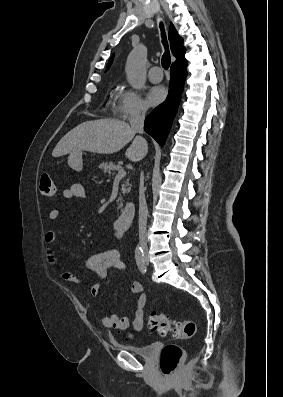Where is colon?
Here are the masks:
<instances>
[{
  "mask_svg": "<svg viewBox=\"0 0 283 397\" xmlns=\"http://www.w3.org/2000/svg\"><path fill=\"white\" fill-rule=\"evenodd\" d=\"M39 192L46 197H54L56 194V185L48 173H43L39 180ZM148 327L151 332H155L161 337H165L174 328V335L177 338L187 339L195 334L196 325L193 321H172L168 316L157 314L155 312L148 316ZM184 350L177 344H167L160 356V369L166 376L173 375L182 359Z\"/></svg>",
  "mask_w": 283,
  "mask_h": 397,
  "instance_id": "colon-1",
  "label": "colon"
}]
</instances>
